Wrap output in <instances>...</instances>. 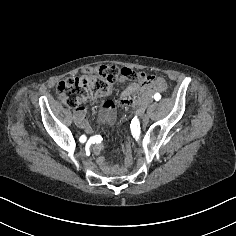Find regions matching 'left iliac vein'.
Masks as SVG:
<instances>
[{
  "mask_svg": "<svg viewBox=\"0 0 236 236\" xmlns=\"http://www.w3.org/2000/svg\"><path fill=\"white\" fill-rule=\"evenodd\" d=\"M147 120H148V115H143V118H142V126L143 127L147 126Z\"/></svg>",
  "mask_w": 236,
  "mask_h": 236,
  "instance_id": "4c4485c4",
  "label": "left iliac vein"
}]
</instances>
